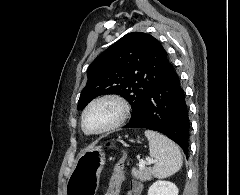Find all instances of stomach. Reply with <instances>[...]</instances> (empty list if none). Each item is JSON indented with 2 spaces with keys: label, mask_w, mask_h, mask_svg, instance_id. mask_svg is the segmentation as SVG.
Returning a JSON list of instances; mask_svg holds the SVG:
<instances>
[{
  "label": "stomach",
  "mask_w": 240,
  "mask_h": 195,
  "mask_svg": "<svg viewBox=\"0 0 240 195\" xmlns=\"http://www.w3.org/2000/svg\"><path fill=\"white\" fill-rule=\"evenodd\" d=\"M106 153L102 145H89L77 155L68 177L67 195H96Z\"/></svg>",
  "instance_id": "1"
}]
</instances>
